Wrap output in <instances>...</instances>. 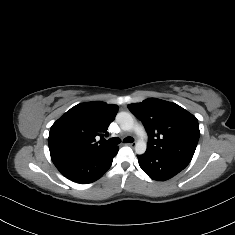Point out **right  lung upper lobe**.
<instances>
[{
    "label": "right lung upper lobe",
    "instance_id": "right-lung-upper-lobe-1",
    "mask_svg": "<svg viewBox=\"0 0 235 235\" xmlns=\"http://www.w3.org/2000/svg\"><path fill=\"white\" fill-rule=\"evenodd\" d=\"M118 106L95 101L81 103L63 114L52 126L48 143L50 153H97L107 146L96 139L108 135V125L114 120Z\"/></svg>",
    "mask_w": 235,
    "mask_h": 235
}]
</instances>
